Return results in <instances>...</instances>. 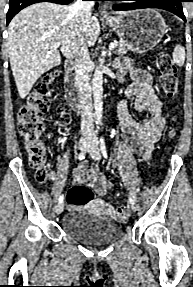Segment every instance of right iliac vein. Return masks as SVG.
<instances>
[{
  "mask_svg": "<svg viewBox=\"0 0 193 287\" xmlns=\"http://www.w3.org/2000/svg\"><path fill=\"white\" fill-rule=\"evenodd\" d=\"M91 143V140L89 138H83L79 142V148L81 151H86ZM64 210V202H59L56 206V213L60 215Z\"/></svg>",
  "mask_w": 193,
  "mask_h": 287,
  "instance_id": "obj_1",
  "label": "right iliac vein"
}]
</instances>
